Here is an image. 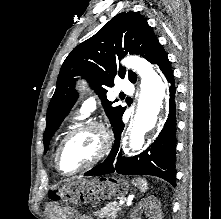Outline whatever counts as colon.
<instances>
[{
    "label": "colon",
    "mask_w": 221,
    "mask_h": 219,
    "mask_svg": "<svg viewBox=\"0 0 221 219\" xmlns=\"http://www.w3.org/2000/svg\"><path fill=\"white\" fill-rule=\"evenodd\" d=\"M58 198L61 199V200H63V201L69 200V199H62V195H58Z\"/></svg>",
    "instance_id": "1"
}]
</instances>
